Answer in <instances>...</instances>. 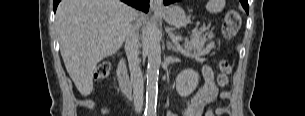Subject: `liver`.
<instances>
[{
  "label": "liver",
  "instance_id": "obj_1",
  "mask_svg": "<svg viewBox=\"0 0 305 116\" xmlns=\"http://www.w3.org/2000/svg\"><path fill=\"white\" fill-rule=\"evenodd\" d=\"M142 16L120 0H62L56 11L60 52L78 91L93 90V72L123 45L129 24Z\"/></svg>",
  "mask_w": 305,
  "mask_h": 116
}]
</instances>
